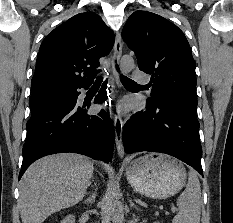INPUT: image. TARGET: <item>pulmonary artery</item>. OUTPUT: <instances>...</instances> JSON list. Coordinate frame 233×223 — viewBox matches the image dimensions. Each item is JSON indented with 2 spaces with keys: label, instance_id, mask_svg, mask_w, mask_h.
<instances>
[{
  "label": "pulmonary artery",
  "instance_id": "obj_1",
  "mask_svg": "<svg viewBox=\"0 0 233 223\" xmlns=\"http://www.w3.org/2000/svg\"><path fill=\"white\" fill-rule=\"evenodd\" d=\"M132 79H139L140 83L146 84L149 82L150 74H144V70H132Z\"/></svg>",
  "mask_w": 233,
  "mask_h": 223
}]
</instances>
